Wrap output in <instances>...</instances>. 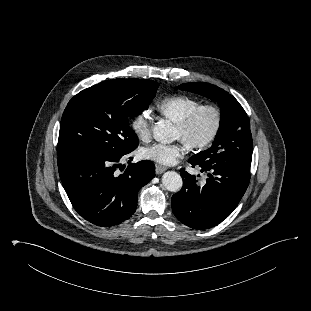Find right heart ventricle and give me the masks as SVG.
Returning a JSON list of instances; mask_svg holds the SVG:
<instances>
[{"label":"right heart ventricle","instance_id":"1","mask_svg":"<svg viewBox=\"0 0 311 311\" xmlns=\"http://www.w3.org/2000/svg\"><path fill=\"white\" fill-rule=\"evenodd\" d=\"M200 105L201 102L192 97L173 95L161 100L157 109L162 116L178 124Z\"/></svg>","mask_w":311,"mask_h":311}]
</instances>
